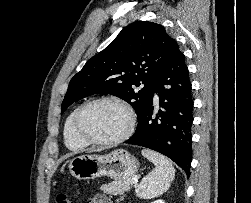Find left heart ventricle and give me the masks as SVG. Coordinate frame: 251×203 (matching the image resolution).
<instances>
[{
    "instance_id": "obj_1",
    "label": "left heart ventricle",
    "mask_w": 251,
    "mask_h": 203,
    "mask_svg": "<svg viewBox=\"0 0 251 203\" xmlns=\"http://www.w3.org/2000/svg\"><path fill=\"white\" fill-rule=\"evenodd\" d=\"M128 125V116L119 105L102 102L89 107L81 120L82 131L91 138L108 140L122 134Z\"/></svg>"
}]
</instances>
